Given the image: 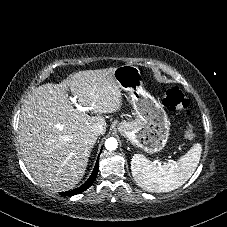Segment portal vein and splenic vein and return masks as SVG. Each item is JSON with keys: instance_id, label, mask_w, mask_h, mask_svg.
Returning a JSON list of instances; mask_svg holds the SVG:
<instances>
[{"instance_id": "1", "label": "portal vein and splenic vein", "mask_w": 227, "mask_h": 227, "mask_svg": "<svg viewBox=\"0 0 227 227\" xmlns=\"http://www.w3.org/2000/svg\"><path fill=\"white\" fill-rule=\"evenodd\" d=\"M72 101V103L76 106L77 110L80 111V112H85V111H88L89 108L88 107H82L81 105H79L77 103V97H73L70 99Z\"/></svg>"}]
</instances>
